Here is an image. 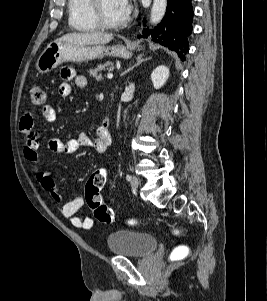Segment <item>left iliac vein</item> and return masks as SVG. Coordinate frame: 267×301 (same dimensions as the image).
<instances>
[{
    "label": "left iliac vein",
    "instance_id": "obj_1",
    "mask_svg": "<svg viewBox=\"0 0 267 301\" xmlns=\"http://www.w3.org/2000/svg\"><path fill=\"white\" fill-rule=\"evenodd\" d=\"M139 186V180L136 176H133L131 179V187L133 190H137Z\"/></svg>",
    "mask_w": 267,
    "mask_h": 301
}]
</instances>
